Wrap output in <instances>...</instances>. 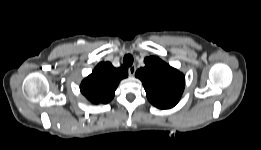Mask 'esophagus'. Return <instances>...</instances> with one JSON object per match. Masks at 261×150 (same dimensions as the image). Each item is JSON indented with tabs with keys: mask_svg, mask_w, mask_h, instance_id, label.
I'll list each match as a JSON object with an SVG mask.
<instances>
[{
	"mask_svg": "<svg viewBox=\"0 0 261 150\" xmlns=\"http://www.w3.org/2000/svg\"><path fill=\"white\" fill-rule=\"evenodd\" d=\"M128 72L131 76H133L136 72V66L135 65H132L128 68Z\"/></svg>",
	"mask_w": 261,
	"mask_h": 150,
	"instance_id": "obj_1",
	"label": "esophagus"
}]
</instances>
